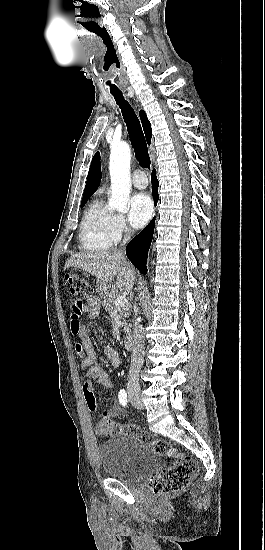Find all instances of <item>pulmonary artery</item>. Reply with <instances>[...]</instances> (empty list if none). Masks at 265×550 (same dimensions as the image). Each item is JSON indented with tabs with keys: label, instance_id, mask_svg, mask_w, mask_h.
<instances>
[{
	"label": "pulmonary artery",
	"instance_id": "1",
	"mask_svg": "<svg viewBox=\"0 0 265 550\" xmlns=\"http://www.w3.org/2000/svg\"><path fill=\"white\" fill-rule=\"evenodd\" d=\"M132 185L137 189H145L148 185L146 175L141 170H136L132 176Z\"/></svg>",
	"mask_w": 265,
	"mask_h": 550
}]
</instances>
